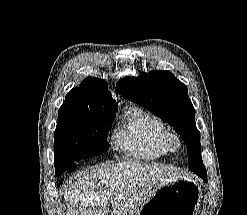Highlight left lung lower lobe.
<instances>
[{
	"mask_svg": "<svg viewBox=\"0 0 247 215\" xmlns=\"http://www.w3.org/2000/svg\"><path fill=\"white\" fill-rule=\"evenodd\" d=\"M193 172L197 174L199 177H201L204 180V182H207V172L205 170V167H201L200 169H197Z\"/></svg>",
	"mask_w": 247,
	"mask_h": 215,
	"instance_id": "1",
	"label": "left lung lower lobe"
}]
</instances>
